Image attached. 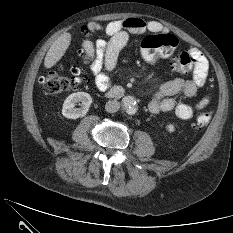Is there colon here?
Here are the masks:
<instances>
[{
  "mask_svg": "<svg viewBox=\"0 0 233 233\" xmlns=\"http://www.w3.org/2000/svg\"><path fill=\"white\" fill-rule=\"evenodd\" d=\"M178 39L170 33H156L144 38L141 43V53L144 60L148 63H154L161 58H170L173 68L182 74H188L193 71V59L186 51L177 49ZM85 61L90 60V54L87 49L81 51ZM86 80L85 69L79 66L72 67L70 74L62 73V67L51 69L42 75L39 84L44 93L53 95L65 91L73 90L82 85ZM210 112L200 113L195 121L196 128L207 126L211 120Z\"/></svg>",
  "mask_w": 233,
  "mask_h": 233,
  "instance_id": "obj_1",
  "label": "colon"
}]
</instances>
